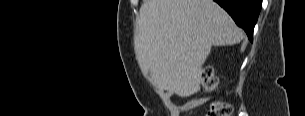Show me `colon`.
<instances>
[{
    "mask_svg": "<svg viewBox=\"0 0 305 116\" xmlns=\"http://www.w3.org/2000/svg\"><path fill=\"white\" fill-rule=\"evenodd\" d=\"M200 80L204 90L215 92L218 88V80L214 76L210 67H204L200 73ZM232 106L226 102L214 101L211 103L206 116H230Z\"/></svg>",
    "mask_w": 305,
    "mask_h": 116,
    "instance_id": "1",
    "label": "colon"
}]
</instances>
